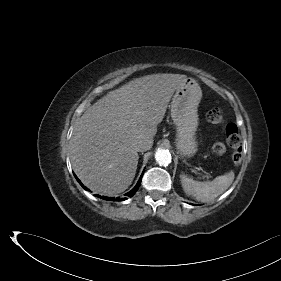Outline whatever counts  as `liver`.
<instances>
[{"label":"liver","mask_w":281,"mask_h":281,"mask_svg":"<svg viewBox=\"0 0 281 281\" xmlns=\"http://www.w3.org/2000/svg\"><path fill=\"white\" fill-rule=\"evenodd\" d=\"M186 78L168 73L136 78L87 108L70 140L72 168L85 186L112 196L132 184L138 141H153L173 93Z\"/></svg>","instance_id":"liver-1"}]
</instances>
